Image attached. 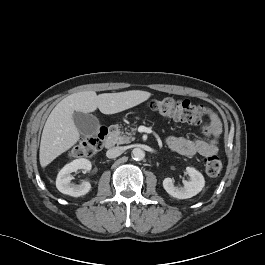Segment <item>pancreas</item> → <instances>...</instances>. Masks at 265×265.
<instances>
[{"mask_svg":"<svg viewBox=\"0 0 265 265\" xmlns=\"http://www.w3.org/2000/svg\"><path fill=\"white\" fill-rule=\"evenodd\" d=\"M115 128V131L113 132L114 133V142L117 144V145H120V144H128L130 143L131 141H134L135 138L132 136L135 134V131L136 129L135 128H131V131H120L118 129V126L115 125L114 126Z\"/></svg>","mask_w":265,"mask_h":265,"instance_id":"obj_1","label":"pancreas"}]
</instances>
